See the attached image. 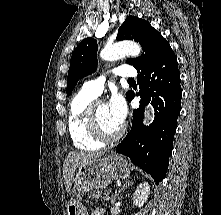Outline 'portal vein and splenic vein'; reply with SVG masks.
Returning a JSON list of instances; mask_svg holds the SVG:
<instances>
[{
  "label": "portal vein and splenic vein",
  "instance_id": "obj_1",
  "mask_svg": "<svg viewBox=\"0 0 221 215\" xmlns=\"http://www.w3.org/2000/svg\"><path fill=\"white\" fill-rule=\"evenodd\" d=\"M104 200H108L109 199V196H105L103 197Z\"/></svg>",
  "mask_w": 221,
  "mask_h": 215
}]
</instances>
